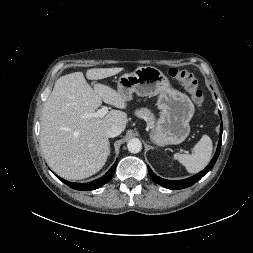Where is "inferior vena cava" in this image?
Wrapping results in <instances>:
<instances>
[{
	"label": "inferior vena cava",
	"mask_w": 253,
	"mask_h": 253,
	"mask_svg": "<svg viewBox=\"0 0 253 253\" xmlns=\"http://www.w3.org/2000/svg\"><path fill=\"white\" fill-rule=\"evenodd\" d=\"M122 132L121 128L118 125H112L111 127H109L106 131V135L107 137H116L118 135H120Z\"/></svg>",
	"instance_id": "inferior-vena-cava-1"
}]
</instances>
